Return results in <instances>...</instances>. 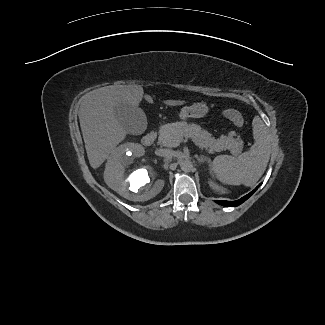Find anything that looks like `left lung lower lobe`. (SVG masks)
I'll return each instance as SVG.
<instances>
[{"instance_id": "1", "label": "left lung lower lobe", "mask_w": 325, "mask_h": 325, "mask_svg": "<svg viewBox=\"0 0 325 325\" xmlns=\"http://www.w3.org/2000/svg\"><path fill=\"white\" fill-rule=\"evenodd\" d=\"M261 185V184H260ZM258 185L253 191H251L249 194L245 195L244 197H242L239 200L236 201H222V200H216V203L222 205V206H226V207H235L238 206L240 204H242L245 200H247L255 191L256 189L260 186Z\"/></svg>"}]
</instances>
